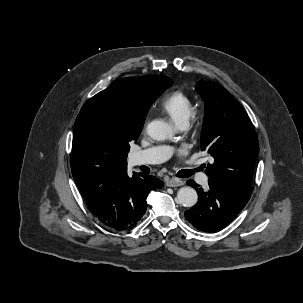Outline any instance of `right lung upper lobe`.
<instances>
[{"mask_svg": "<svg viewBox=\"0 0 303 303\" xmlns=\"http://www.w3.org/2000/svg\"><path fill=\"white\" fill-rule=\"evenodd\" d=\"M171 85L167 76L122 78L83 105L74 125L70 160L73 171L89 177L79 188L82 196L127 173V153L114 147L108 136L114 131L139 136L150 106Z\"/></svg>", "mask_w": 303, "mask_h": 303, "instance_id": "1", "label": "right lung upper lobe"}]
</instances>
